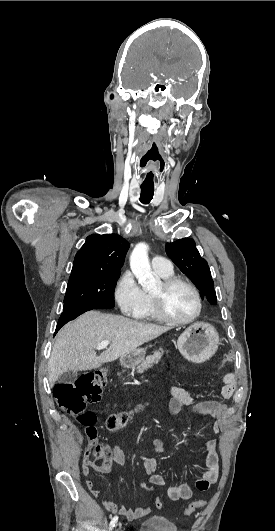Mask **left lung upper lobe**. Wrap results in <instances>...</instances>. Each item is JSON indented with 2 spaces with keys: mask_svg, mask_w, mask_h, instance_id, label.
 I'll return each mask as SVG.
<instances>
[{
  "mask_svg": "<svg viewBox=\"0 0 275 531\" xmlns=\"http://www.w3.org/2000/svg\"><path fill=\"white\" fill-rule=\"evenodd\" d=\"M166 253L179 269L198 287L201 291V297H206L210 304L216 305V292L209 266L206 260L200 256L194 240L184 238L167 243Z\"/></svg>",
  "mask_w": 275,
  "mask_h": 531,
  "instance_id": "1",
  "label": "left lung upper lobe"
}]
</instances>
